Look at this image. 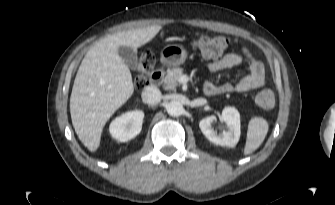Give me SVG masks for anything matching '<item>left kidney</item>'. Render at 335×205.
Wrapping results in <instances>:
<instances>
[{
	"label": "left kidney",
	"mask_w": 335,
	"mask_h": 205,
	"mask_svg": "<svg viewBox=\"0 0 335 205\" xmlns=\"http://www.w3.org/2000/svg\"><path fill=\"white\" fill-rule=\"evenodd\" d=\"M221 119L226 123L227 129L218 133L212 128L215 116H208L202 119L199 127L204 136L212 143L220 146L235 147L240 138V114L234 107H225Z\"/></svg>",
	"instance_id": "5707ae66"
}]
</instances>
